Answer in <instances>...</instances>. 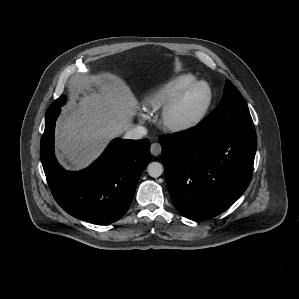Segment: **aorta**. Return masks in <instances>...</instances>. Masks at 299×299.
I'll list each match as a JSON object with an SVG mask.
<instances>
[{"mask_svg": "<svg viewBox=\"0 0 299 299\" xmlns=\"http://www.w3.org/2000/svg\"><path fill=\"white\" fill-rule=\"evenodd\" d=\"M163 171V165L159 162H151L147 167L148 174L154 178L161 176Z\"/></svg>", "mask_w": 299, "mask_h": 299, "instance_id": "1", "label": "aorta"}]
</instances>
